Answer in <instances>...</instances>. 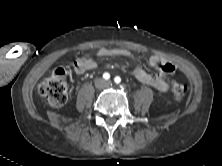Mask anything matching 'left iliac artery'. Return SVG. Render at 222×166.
Wrapping results in <instances>:
<instances>
[{"instance_id":"1","label":"left iliac artery","mask_w":222,"mask_h":166,"mask_svg":"<svg viewBox=\"0 0 222 166\" xmlns=\"http://www.w3.org/2000/svg\"><path fill=\"white\" fill-rule=\"evenodd\" d=\"M114 81H115V83H120L121 82V78L119 77V76H116L115 78H114Z\"/></svg>"}]
</instances>
